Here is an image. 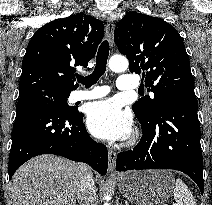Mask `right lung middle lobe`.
<instances>
[{"instance_id": "obj_1", "label": "right lung middle lobe", "mask_w": 212, "mask_h": 205, "mask_svg": "<svg viewBox=\"0 0 212 205\" xmlns=\"http://www.w3.org/2000/svg\"><path fill=\"white\" fill-rule=\"evenodd\" d=\"M69 95L70 93L42 91V92L31 93V94L22 96L20 98L46 101L50 104L58 106L62 111L66 113L75 114L77 113V110H75L74 107H70L67 104V99Z\"/></svg>"}]
</instances>
